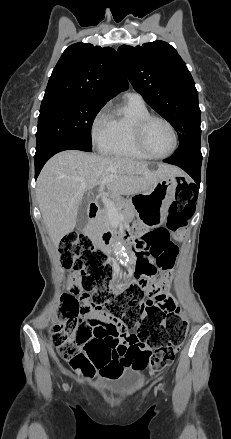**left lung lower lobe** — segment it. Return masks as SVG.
Segmentation results:
<instances>
[{
    "label": "left lung lower lobe",
    "mask_w": 231,
    "mask_h": 439,
    "mask_svg": "<svg viewBox=\"0 0 231 439\" xmlns=\"http://www.w3.org/2000/svg\"><path fill=\"white\" fill-rule=\"evenodd\" d=\"M200 133L185 136L175 153L164 162L177 165L186 171L197 183L200 184V170L202 154L200 152Z\"/></svg>",
    "instance_id": "obj_1"
}]
</instances>
